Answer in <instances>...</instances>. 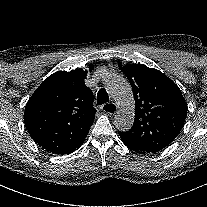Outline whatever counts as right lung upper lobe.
Wrapping results in <instances>:
<instances>
[{"label": "right lung upper lobe", "mask_w": 207, "mask_h": 207, "mask_svg": "<svg viewBox=\"0 0 207 207\" xmlns=\"http://www.w3.org/2000/svg\"><path fill=\"white\" fill-rule=\"evenodd\" d=\"M93 65L89 66L92 71ZM82 69L58 71L47 77L29 98L24 113L25 126L43 149L53 154H69L78 149L93 124L94 96Z\"/></svg>", "instance_id": "cb5924a9"}]
</instances>
